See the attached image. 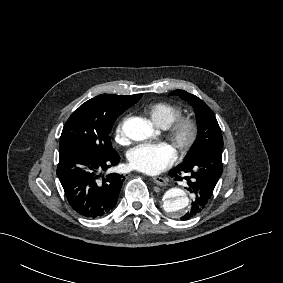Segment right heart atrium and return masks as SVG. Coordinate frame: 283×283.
<instances>
[{
  "label": "right heart atrium",
  "instance_id": "1",
  "mask_svg": "<svg viewBox=\"0 0 283 283\" xmlns=\"http://www.w3.org/2000/svg\"><path fill=\"white\" fill-rule=\"evenodd\" d=\"M115 140L121 144L127 141V137L123 131V120L120 121L115 128Z\"/></svg>",
  "mask_w": 283,
  "mask_h": 283
}]
</instances>
